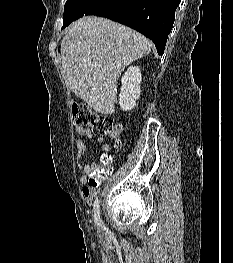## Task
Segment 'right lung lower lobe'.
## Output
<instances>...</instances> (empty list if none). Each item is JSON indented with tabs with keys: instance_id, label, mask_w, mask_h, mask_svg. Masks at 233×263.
I'll use <instances>...</instances> for the list:
<instances>
[{
	"instance_id": "1",
	"label": "right lung lower lobe",
	"mask_w": 233,
	"mask_h": 263,
	"mask_svg": "<svg viewBox=\"0 0 233 263\" xmlns=\"http://www.w3.org/2000/svg\"><path fill=\"white\" fill-rule=\"evenodd\" d=\"M179 3L180 0H122L112 13L101 16L142 33L154 42L158 54L162 55Z\"/></svg>"
}]
</instances>
